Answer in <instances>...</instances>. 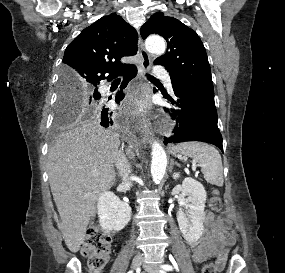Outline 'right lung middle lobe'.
<instances>
[{"label":"right lung middle lobe","mask_w":285,"mask_h":273,"mask_svg":"<svg viewBox=\"0 0 285 273\" xmlns=\"http://www.w3.org/2000/svg\"><path fill=\"white\" fill-rule=\"evenodd\" d=\"M102 100L95 86L81 84L63 72L58 90L57 124L82 118L98 119Z\"/></svg>","instance_id":"dd1d6c3e"}]
</instances>
